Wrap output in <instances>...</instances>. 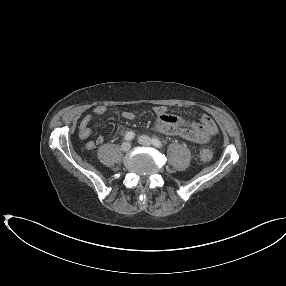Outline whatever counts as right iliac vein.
<instances>
[{
    "label": "right iliac vein",
    "mask_w": 286,
    "mask_h": 286,
    "mask_svg": "<svg viewBox=\"0 0 286 286\" xmlns=\"http://www.w3.org/2000/svg\"><path fill=\"white\" fill-rule=\"evenodd\" d=\"M131 148V144L129 142H124L121 145V150L127 152Z\"/></svg>",
    "instance_id": "63e3f726"
}]
</instances>
